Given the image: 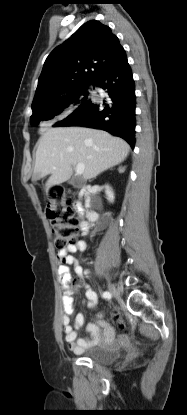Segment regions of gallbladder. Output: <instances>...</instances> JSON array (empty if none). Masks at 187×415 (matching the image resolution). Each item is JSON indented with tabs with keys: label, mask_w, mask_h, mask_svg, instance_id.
Segmentation results:
<instances>
[{
	"label": "gallbladder",
	"mask_w": 187,
	"mask_h": 415,
	"mask_svg": "<svg viewBox=\"0 0 187 415\" xmlns=\"http://www.w3.org/2000/svg\"><path fill=\"white\" fill-rule=\"evenodd\" d=\"M69 184L74 187H80L83 185V180L79 177H74L71 180H69Z\"/></svg>",
	"instance_id": "1"
}]
</instances>
